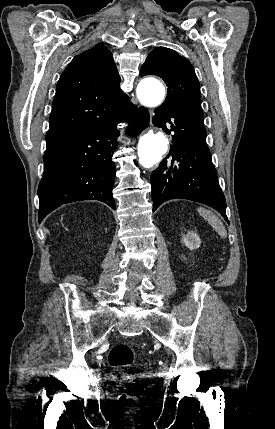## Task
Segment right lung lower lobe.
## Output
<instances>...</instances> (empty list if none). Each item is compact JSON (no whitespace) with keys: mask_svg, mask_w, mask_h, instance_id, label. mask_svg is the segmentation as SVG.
<instances>
[{"mask_svg":"<svg viewBox=\"0 0 275 429\" xmlns=\"http://www.w3.org/2000/svg\"><path fill=\"white\" fill-rule=\"evenodd\" d=\"M120 122H128V134L135 137L148 126L149 113L129 102L114 120L47 141L45 170L38 187L39 222L55 208L74 201L95 199L115 209L112 154L117 148L120 132L116 125Z\"/></svg>","mask_w":275,"mask_h":429,"instance_id":"1","label":"right lung lower lobe"}]
</instances>
